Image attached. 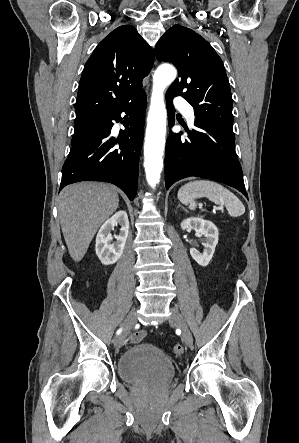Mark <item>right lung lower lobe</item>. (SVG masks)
Masks as SVG:
<instances>
[{"instance_id":"1","label":"right lung lower lobe","mask_w":299,"mask_h":443,"mask_svg":"<svg viewBox=\"0 0 299 443\" xmlns=\"http://www.w3.org/2000/svg\"><path fill=\"white\" fill-rule=\"evenodd\" d=\"M146 102L143 90L98 117L100 127L72 146L62 168L61 189L79 181H103L121 188L130 200L135 198ZM113 121L125 127L117 138L110 135Z\"/></svg>"}]
</instances>
